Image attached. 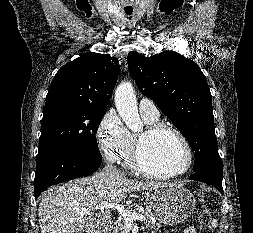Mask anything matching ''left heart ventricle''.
<instances>
[{"label": "left heart ventricle", "instance_id": "obj_1", "mask_svg": "<svg viewBox=\"0 0 253 233\" xmlns=\"http://www.w3.org/2000/svg\"><path fill=\"white\" fill-rule=\"evenodd\" d=\"M142 159L152 171L171 172L185 166L187 155L181 141L173 133L163 131L146 140Z\"/></svg>", "mask_w": 253, "mask_h": 233}]
</instances>
